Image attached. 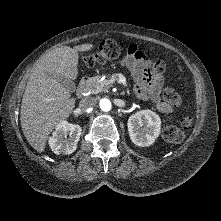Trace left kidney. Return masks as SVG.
Returning a JSON list of instances; mask_svg holds the SVG:
<instances>
[{
    "label": "left kidney",
    "mask_w": 221,
    "mask_h": 221,
    "mask_svg": "<svg viewBox=\"0 0 221 221\" xmlns=\"http://www.w3.org/2000/svg\"><path fill=\"white\" fill-rule=\"evenodd\" d=\"M160 117L151 110H141L128 119V131L131 141L141 147L152 145L159 136Z\"/></svg>",
    "instance_id": "1"
}]
</instances>
